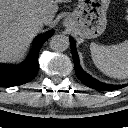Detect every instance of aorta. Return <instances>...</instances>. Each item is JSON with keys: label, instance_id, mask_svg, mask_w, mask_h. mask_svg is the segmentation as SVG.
Returning a JSON list of instances; mask_svg holds the SVG:
<instances>
[{"label": "aorta", "instance_id": "1", "mask_svg": "<svg viewBox=\"0 0 128 128\" xmlns=\"http://www.w3.org/2000/svg\"><path fill=\"white\" fill-rule=\"evenodd\" d=\"M49 46L53 51L63 52L69 47V39L65 35H54L50 38Z\"/></svg>", "mask_w": 128, "mask_h": 128}]
</instances>
